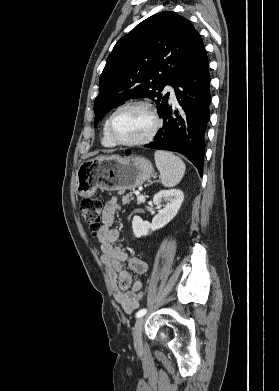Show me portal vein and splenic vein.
Segmentation results:
<instances>
[{
	"label": "portal vein and splenic vein",
	"mask_w": 279,
	"mask_h": 391,
	"mask_svg": "<svg viewBox=\"0 0 279 391\" xmlns=\"http://www.w3.org/2000/svg\"><path fill=\"white\" fill-rule=\"evenodd\" d=\"M136 195H140V192L139 191H135L134 192Z\"/></svg>",
	"instance_id": "obj_1"
}]
</instances>
